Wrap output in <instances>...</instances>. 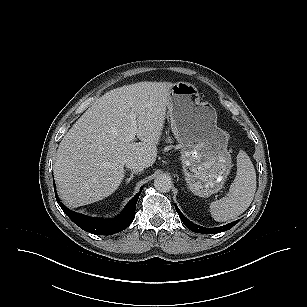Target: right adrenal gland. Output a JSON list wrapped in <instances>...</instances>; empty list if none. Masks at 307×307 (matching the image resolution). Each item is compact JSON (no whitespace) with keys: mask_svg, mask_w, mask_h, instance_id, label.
I'll use <instances>...</instances> for the list:
<instances>
[{"mask_svg":"<svg viewBox=\"0 0 307 307\" xmlns=\"http://www.w3.org/2000/svg\"><path fill=\"white\" fill-rule=\"evenodd\" d=\"M134 174H138V172H135L133 171L131 174H130V177L126 179V184L130 183V181L133 179L134 177Z\"/></svg>","mask_w":307,"mask_h":307,"instance_id":"obj_1","label":"right adrenal gland"}]
</instances>
